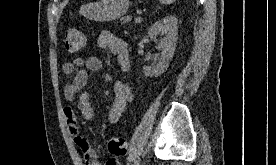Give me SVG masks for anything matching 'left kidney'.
I'll use <instances>...</instances> for the list:
<instances>
[{
	"instance_id": "5707ae66",
	"label": "left kidney",
	"mask_w": 276,
	"mask_h": 165,
	"mask_svg": "<svg viewBox=\"0 0 276 165\" xmlns=\"http://www.w3.org/2000/svg\"><path fill=\"white\" fill-rule=\"evenodd\" d=\"M177 33L176 16H167L150 27L148 32L150 39L156 41V37L160 34L164 35V38L158 43V48L161 50L159 62L152 66H143V72L146 77H157L167 70L175 52Z\"/></svg>"
}]
</instances>
